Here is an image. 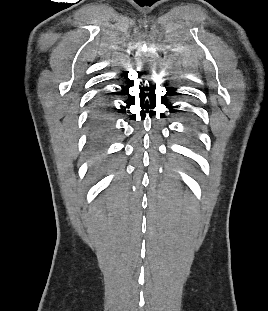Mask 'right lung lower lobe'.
Listing matches in <instances>:
<instances>
[{"label":"right lung lower lobe","mask_w":268,"mask_h":311,"mask_svg":"<svg viewBox=\"0 0 268 311\" xmlns=\"http://www.w3.org/2000/svg\"><path fill=\"white\" fill-rule=\"evenodd\" d=\"M113 108L109 106L108 100L99 98L89 118V128L96 140L109 135L113 128Z\"/></svg>","instance_id":"obj_1"}]
</instances>
